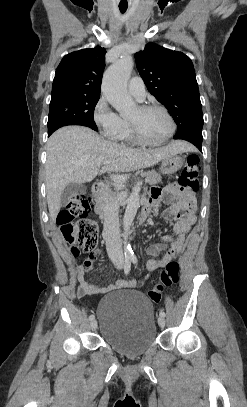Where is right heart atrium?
<instances>
[{
    "instance_id": "obj_1",
    "label": "right heart atrium",
    "mask_w": 247,
    "mask_h": 407,
    "mask_svg": "<svg viewBox=\"0 0 247 407\" xmlns=\"http://www.w3.org/2000/svg\"><path fill=\"white\" fill-rule=\"evenodd\" d=\"M93 121L105 137L113 140L117 139L124 127V120L111 108L103 95L94 105Z\"/></svg>"
}]
</instances>
